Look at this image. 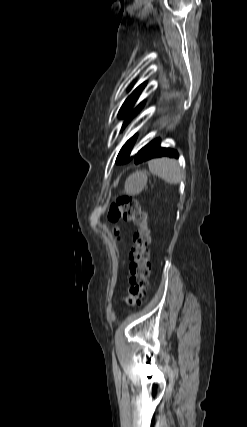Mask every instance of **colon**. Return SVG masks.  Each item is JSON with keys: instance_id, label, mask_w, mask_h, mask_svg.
<instances>
[{"instance_id": "5ec220e1", "label": "colon", "mask_w": 247, "mask_h": 427, "mask_svg": "<svg viewBox=\"0 0 247 427\" xmlns=\"http://www.w3.org/2000/svg\"><path fill=\"white\" fill-rule=\"evenodd\" d=\"M107 217L111 223L123 220L137 226L134 247L130 252L128 293L124 300L128 306L140 305L146 295L151 270L149 260L151 236L147 213L134 198L122 196L110 205Z\"/></svg>"}]
</instances>
